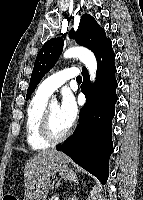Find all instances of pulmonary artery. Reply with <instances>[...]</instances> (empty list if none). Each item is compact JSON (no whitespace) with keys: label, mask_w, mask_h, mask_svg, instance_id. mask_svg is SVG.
<instances>
[{"label":"pulmonary artery","mask_w":143,"mask_h":200,"mask_svg":"<svg viewBox=\"0 0 143 200\" xmlns=\"http://www.w3.org/2000/svg\"><path fill=\"white\" fill-rule=\"evenodd\" d=\"M79 70L75 67L59 71L46 79L39 85V90L47 95H51L57 88L63 85L68 79L77 78Z\"/></svg>","instance_id":"1"}]
</instances>
